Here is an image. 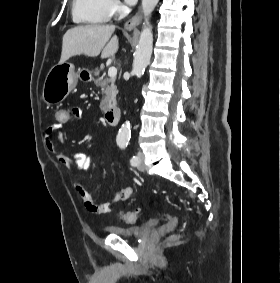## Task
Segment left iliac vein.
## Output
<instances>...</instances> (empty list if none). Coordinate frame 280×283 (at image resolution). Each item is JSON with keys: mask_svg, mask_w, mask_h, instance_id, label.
Here are the masks:
<instances>
[{"mask_svg": "<svg viewBox=\"0 0 280 283\" xmlns=\"http://www.w3.org/2000/svg\"><path fill=\"white\" fill-rule=\"evenodd\" d=\"M137 157L139 159L138 164L136 165L139 171H144L145 166H144V154L143 152H138Z\"/></svg>", "mask_w": 280, "mask_h": 283, "instance_id": "obj_1", "label": "left iliac vein"}]
</instances>
